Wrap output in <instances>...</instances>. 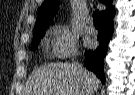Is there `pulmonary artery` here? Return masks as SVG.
Returning <instances> with one entry per match:
<instances>
[{
  "mask_svg": "<svg viewBox=\"0 0 135 95\" xmlns=\"http://www.w3.org/2000/svg\"><path fill=\"white\" fill-rule=\"evenodd\" d=\"M91 20L89 19L88 23L85 25V31L87 33H93L94 32V27L92 24H90Z\"/></svg>",
  "mask_w": 135,
  "mask_h": 95,
  "instance_id": "pulmonary-artery-1",
  "label": "pulmonary artery"
}]
</instances>
